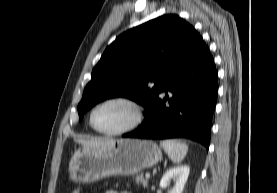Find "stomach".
<instances>
[{
    "label": "stomach",
    "instance_id": "0dacf381",
    "mask_svg": "<svg viewBox=\"0 0 277 193\" xmlns=\"http://www.w3.org/2000/svg\"><path fill=\"white\" fill-rule=\"evenodd\" d=\"M162 158L150 140L120 139L100 147H81L69 161V177L76 183H92L110 176L134 175Z\"/></svg>",
    "mask_w": 277,
    "mask_h": 193
}]
</instances>
